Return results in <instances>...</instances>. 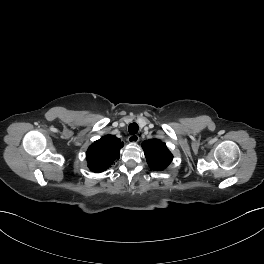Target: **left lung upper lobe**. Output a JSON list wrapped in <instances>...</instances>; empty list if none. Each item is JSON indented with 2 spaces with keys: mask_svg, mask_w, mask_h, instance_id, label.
I'll list each match as a JSON object with an SVG mask.
<instances>
[{
  "mask_svg": "<svg viewBox=\"0 0 264 264\" xmlns=\"http://www.w3.org/2000/svg\"><path fill=\"white\" fill-rule=\"evenodd\" d=\"M142 147L151 169L160 171L171 163L173 156L166 144L160 140L151 139L144 141Z\"/></svg>",
  "mask_w": 264,
  "mask_h": 264,
  "instance_id": "left-lung-upper-lobe-1",
  "label": "left lung upper lobe"
}]
</instances>
